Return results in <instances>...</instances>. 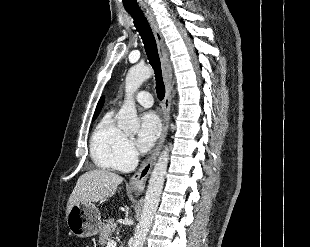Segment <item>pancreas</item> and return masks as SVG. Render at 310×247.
<instances>
[{"instance_id": "cf45deb5", "label": "pancreas", "mask_w": 310, "mask_h": 247, "mask_svg": "<svg viewBox=\"0 0 310 247\" xmlns=\"http://www.w3.org/2000/svg\"><path fill=\"white\" fill-rule=\"evenodd\" d=\"M118 232L117 224L113 219L107 220L106 224L103 226L99 236V243L104 246L109 241H111V236Z\"/></svg>"}]
</instances>
